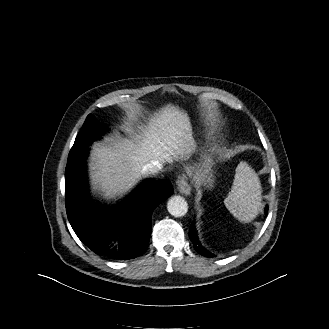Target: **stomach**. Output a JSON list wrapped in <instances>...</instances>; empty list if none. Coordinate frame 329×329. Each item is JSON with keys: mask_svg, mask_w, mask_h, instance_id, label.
Wrapping results in <instances>:
<instances>
[{"mask_svg": "<svg viewBox=\"0 0 329 329\" xmlns=\"http://www.w3.org/2000/svg\"><path fill=\"white\" fill-rule=\"evenodd\" d=\"M201 179L205 184L211 185L212 179L211 176H209L208 169L204 171V175L201 177Z\"/></svg>", "mask_w": 329, "mask_h": 329, "instance_id": "stomach-1", "label": "stomach"}]
</instances>
